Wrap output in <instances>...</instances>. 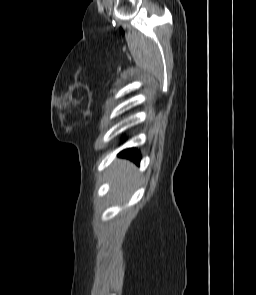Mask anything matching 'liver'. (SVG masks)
I'll list each match as a JSON object with an SVG mask.
<instances>
[{"instance_id":"obj_1","label":"liver","mask_w":256,"mask_h":295,"mask_svg":"<svg viewBox=\"0 0 256 295\" xmlns=\"http://www.w3.org/2000/svg\"><path fill=\"white\" fill-rule=\"evenodd\" d=\"M110 180L113 182L112 192L115 196H119V200L122 201L127 197L130 189L138 181V176L134 172L132 163L119 159L112 166Z\"/></svg>"}]
</instances>
